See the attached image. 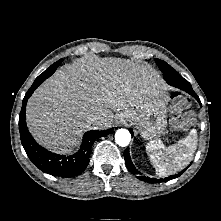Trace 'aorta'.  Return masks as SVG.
<instances>
[{"instance_id":"762f6f07","label":"aorta","mask_w":221,"mask_h":221,"mask_svg":"<svg viewBox=\"0 0 221 221\" xmlns=\"http://www.w3.org/2000/svg\"><path fill=\"white\" fill-rule=\"evenodd\" d=\"M131 134L127 129H118L115 133V141L121 146L125 147L130 143Z\"/></svg>"}]
</instances>
